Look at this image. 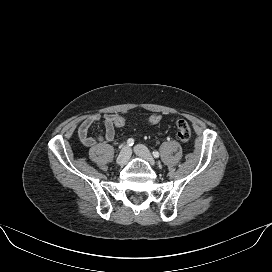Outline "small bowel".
Listing matches in <instances>:
<instances>
[{"instance_id":"c3829d8e","label":"small bowel","mask_w":272,"mask_h":272,"mask_svg":"<svg viewBox=\"0 0 272 272\" xmlns=\"http://www.w3.org/2000/svg\"><path fill=\"white\" fill-rule=\"evenodd\" d=\"M116 116V113H107L104 115L95 113L88 115L78 127L77 134L80 142L86 147H93L99 143L112 141L116 132V127L114 125ZM101 119H103L104 122V133L98 136L89 135L90 127Z\"/></svg>"}]
</instances>
